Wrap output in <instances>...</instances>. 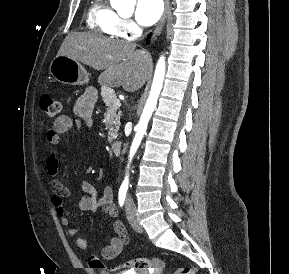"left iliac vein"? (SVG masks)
Instances as JSON below:
<instances>
[{"instance_id": "4c4485c4", "label": "left iliac vein", "mask_w": 289, "mask_h": 274, "mask_svg": "<svg viewBox=\"0 0 289 274\" xmlns=\"http://www.w3.org/2000/svg\"><path fill=\"white\" fill-rule=\"evenodd\" d=\"M126 215L132 228L139 233L143 232V227L140 225L135 208L132 206L130 200L126 202Z\"/></svg>"}]
</instances>
